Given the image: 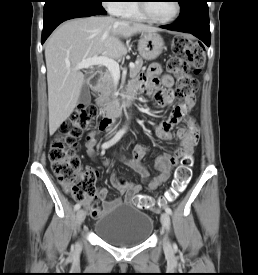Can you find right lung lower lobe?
I'll use <instances>...</instances> for the list:
<instances>
[{
	"label": "right lung lower lobe",
	"mask_w": 258,
	"mask_h": 275,
	"mask_svg": "<svg viewBox=\"0 0 258 275\" xmlns=\"http://www.w3.org/2000/svg\"><path fill=\"white\" fill-rule=\"evenodd\" d=\"M100 14H106L102 5L90 0H49L44 6L42 44L60 23Z\"/></svg>",
	"instance_id": "right-lung-lower-lobe-1"
}]
</instances>
